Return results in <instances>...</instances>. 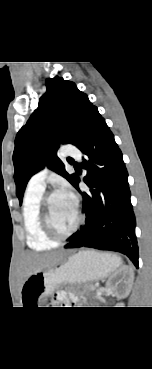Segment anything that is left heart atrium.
I'll return each mask as SVG.
<instances>
[{"label": "left heart atrium", "mask_w": 152, "mask_h": 369, "mask_svg": "<svg viewBox=\"0 0 152 369\" xmlns=\"http://www.w3.org/2000/svg\"><path fill=\"white\" fill-rule=\"evenodd\" d=\"M58 194L63 196L65 199L69 200L71 203L76 205V199L72 192L69 190V188L66 185H62L61 188L58 191Z\"/></svg>", "instance_id": "left-heart-atrium-1"}]
</instances>
